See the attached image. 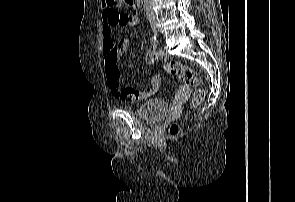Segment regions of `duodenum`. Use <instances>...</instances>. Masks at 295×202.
<instances>
[{
  "mask_svg": "<svg viewBox=\"0 0 295 202\" xmlns=\"http://www.w3.org/2000/svg\"><path fill=\"white\" fill-rule=\"evenodd\" d=\"M138 3L141 8L145 9L147 7L148 0H138Z\"/></svg>",
  "mask_w": 295,
  "mask_h": 202,
  "instance_id": "duodenum-1",
  "label": "duodenum"
}]
</instances>
